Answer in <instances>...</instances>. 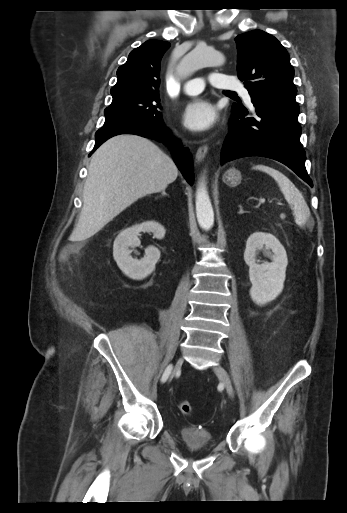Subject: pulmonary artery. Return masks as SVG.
I'll list each match as a JSON object with an SVG mask.
<instances>
[{
    "instance_id": "obj_1",
    "label": "pulmonary artery",
    "mask_w": 347,
    "mask_h": 513,
    "mask_svg": "<svg viewBox=\"0 0 347 513\" xmlns=\"http://www.w3.org/2000/svg\"><path fill=\"white\" fill-rule=\"evenodd\" d=\"M209 82L212 86L219 89L237 91L242 95L243 99L247 103L251 102V96L249 91L241 83L225 74L214 72L211 74ZM204 88V79L194 78L192 80L187 81L184 84L183 91L188 95H197L201 93L204 90Z\"/></svg>"
}]
</instances>
